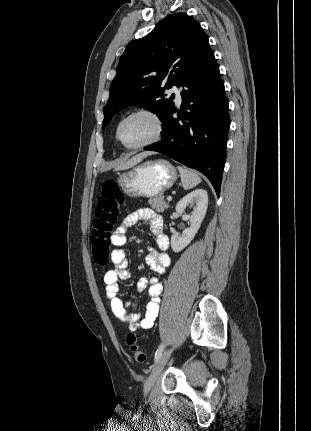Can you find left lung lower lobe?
Masks as SVG:
<instances>
[{
  "instance_id": "obj_1",
  "label": "left lung lower lobe",
  "mask_w": 311,
  "mask_h": 431,
  "mask_svg": "<svg viewBox=\"0 0 311 431\" xmlns=\"http://www.w3.org/2000/svg\"><path fill=\"white\" fill-rule=\"evenodd\" d=\"M178 118L172 109L164 119L162 139L145 150L156 151L202 172L220 194L230 127L224 84L211 49L184 77Z\"/></svg>"
}]
</instances>
